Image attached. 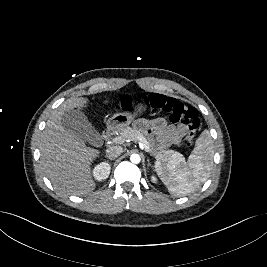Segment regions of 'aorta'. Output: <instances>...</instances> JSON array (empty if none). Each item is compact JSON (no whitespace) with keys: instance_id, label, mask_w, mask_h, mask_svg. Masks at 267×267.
<instances>
[{"instance_id":"762f6f07","label":"aorta","mask_w":267,"mask_h":267,"mask_svg":"<svg viewBox=\"0 0 267 267\" xmlns=\"http://www.w3.org/2000/svg\"><path fill=\"white\" fill-rule=\"evenodd\" d=\"M141 158L138 154H132L130 156V161L134 164H138L140 162Z\"/></svg>"}]
</instances>
